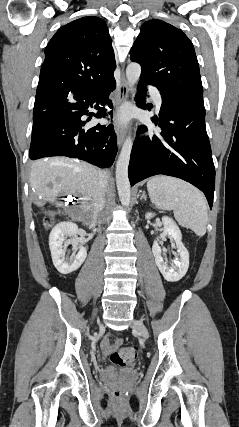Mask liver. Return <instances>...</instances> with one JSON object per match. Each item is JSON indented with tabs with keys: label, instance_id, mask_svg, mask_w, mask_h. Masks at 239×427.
Segmentation results:
<instances>
[{
	"label": "liver",
	"instance_id": "obj_1",
	"mask_svg": "<svg viewBox=\"0 0 239 427\" xmlns=\"http://www.w3.org/2000/svg\"><path fill=\"white\" fill-rule=\"evenodd\" d=\"M100 172V169L91 164L68 158L40 159L32 164L30 183L38 198V205L54 202L59 196L81 195L84 200L83 212L92 210L95 217L94 199Z\"/></svg>",
	"mask_w": 239,
	"mask_h": 427
}]
</instances>
